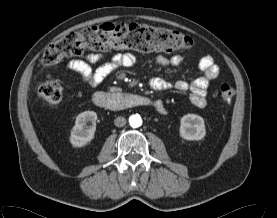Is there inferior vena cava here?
Listing matches in <instances>:
<instances>
[{"label":"inferior vena cava","mask_w":277,"mask_h":218,"mask_svg":"<svg viewBox=\"0 0 277 218\" xmlns=\"http://www.w3.org/2000/svg\"><path fill=\"white\" fill-rule=\"evenodd\" d=\"M114 124L117 127H123L126 124V119L122 116H118L117 118H115Z\"/></svg>","instance_id":"obj_1"}]
</instances>
